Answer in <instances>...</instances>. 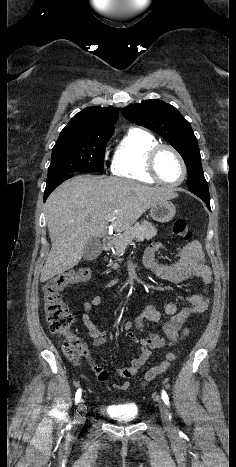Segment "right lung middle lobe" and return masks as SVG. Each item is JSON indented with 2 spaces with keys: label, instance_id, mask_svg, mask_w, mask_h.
<instances>
[{
  "label": "right lung middle lobe",
  "instance_id": "1",
  "mask_svg": "<svg viewBox=\"0 0 236 467\" xmlns=\"http://www.w3.org/2000/svg\"><path fill=\"white\" fill-rule=\"evenodd\" d=\"M112 133L61 132L52 149L47 181L79 172H103L105 148Z\"/></svg>",
  "mask_w": 236,
  "mask_h": 467
}]
</instances>
